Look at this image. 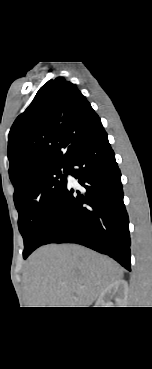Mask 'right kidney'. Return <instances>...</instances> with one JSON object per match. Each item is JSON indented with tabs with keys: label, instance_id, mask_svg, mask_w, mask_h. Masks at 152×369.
I'll use <instances>...</instances> for the list:
<instances>
[{
	"label": "right kidney",
	"instance_id": "ca27d5eb",
	"mask_svg": "<svg viewBox=\"0 0 152 369\" xmlns=\"http://www.w3.org/2000/svg\"><path fill=\"white\" fill-rule=\"evenodd\" d=\"M115 296V301L111 302L110 297ZM128 295V283L125 280H118L110 284L100 294L96 307H126Z\"/></svg>",
	"mask_w": 152,
	"mask_h": 369
}]
</instances>
